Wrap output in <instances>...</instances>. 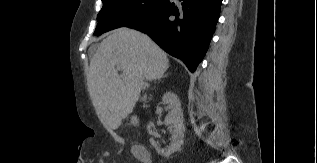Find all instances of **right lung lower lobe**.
<instances>
[{
  "instance_id": "obj_1",
  "label": "right lung lower lobe",
  "mask_w": 317,
  "mask_h": 163,
  "mask_svg": "<svg viewBox=\"0 0 317 163\" xmlns=\"http://www.w3.org/2000/svg\"><path fill=\"white\" fill-rule=\"evenodd\" d=\"M222 0H166L125 27L146 33L194 72L215 31Z\"/></svg>"
}]
</instances>
